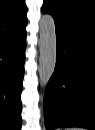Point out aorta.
<instances>
[{"mask_svg":"<svg viewBox=\"0 0 95 130\" xmlns=\"http://www.w3.org/2000/svg\"><path fill=\"white\" fill-rule=\"evenodd\" d=\"M39 27V79L41 86L46 87L56 64V31L53 17L49 14L43 15Z\"/></svg>","mask_w":95,"mask_h":130,"instance_id":"aorta-1","label":"aorta"}]
</instances>
